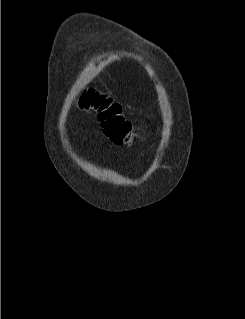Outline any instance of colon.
<instances>
[{"instance_id":"1","label":"colon","mask_w":245,"mask_h":319,"mask_svg":"<svg viewBox=\"0 0 245 319\" xmlns=\"http://www.w3.org/2000/svg\"><path fill=\"white\" fill-rule=\"evenodd\" d=\"M82 109L94 112L103 125L104 134L116 145H127L134 137L132 123L122 115L121 106L111 97L92 88L85 90Z\"/></svg>"}]
</instances>
